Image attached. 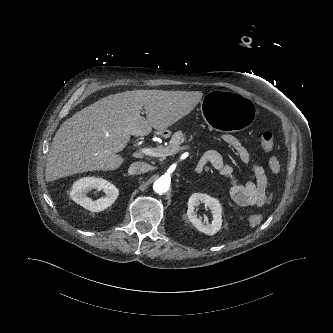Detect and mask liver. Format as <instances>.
<instances>
[{
	"instance_id": "1",
	"label": "liver",
	"mask_w": 333,
	"mask_h": 333,
	"mask_svg": "<svg viewBox=\"0 0 333 333\" xmlns=\"http://www.w3.org/2000/svg\"><path fill=\"white\" fill-rule=\"evenodd\" d=\"M200 91L134 90L101 98L67 119L56 132L46 164V181L95 170H115L130 136L163 131L188 115ZM144 108L146 119L140 115Z\"/></svg>"
}]
</instances>
